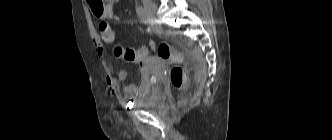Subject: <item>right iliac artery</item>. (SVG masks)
<instances>
[{
	"instance_id": "obj_1",
	"label": "right iliac artery",
	"mask_w": 332,
	"mask_h": 140,
	"mask_svg": "<svg viewBox=\"0 0 332 140\" xmlns=\"http://www.w3.org/2000/svg\"><path fill=\"white\" fill-rule=\"evenodd\" d=\"M136 13L141 21L147 22V15L145 9L142 6L136 7Z\"/></svg>"
}]
</instances>
